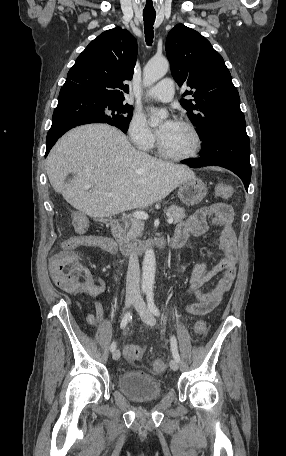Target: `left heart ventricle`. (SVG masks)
Returning <instances> with one entry per match:
<instances>
[{
  "label": "left heart ventricle",
  "mask_w": 286,
  "mask_h": 456,
  "mask_svg": "<svg viewBox=\"0 0 286 456\" xmlns=\"http://www.w3.org/2000/svg\"><path fill=\"white\" fill-rule=\"evenodd\" d=\"M164 149L174 155L182 156L190 154L196 145L195 137L192 132L177 123L160 137Z\"/></svg>",
  "instance_id": "1"
}]
</instances>
